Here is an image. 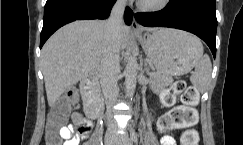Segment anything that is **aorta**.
Masks as SVG:
<instances>
[{"label":"aorta","mask_w":243,"mask_h":145,"mask_svg":"<svg viewBox=\"0 0 243 145\" xmlns=\"http://www.w3.org/2000/svg\"><path fill=\"white\" fill-rule=\"evenodd\" d=\"M137 69H138L137 60L135 57L131 56L128 59L125 68V86H126V93L129 98H132L135 93L136 82H137Z\"/></svg>","instance_id":"aorta-1"}]
</instances>
